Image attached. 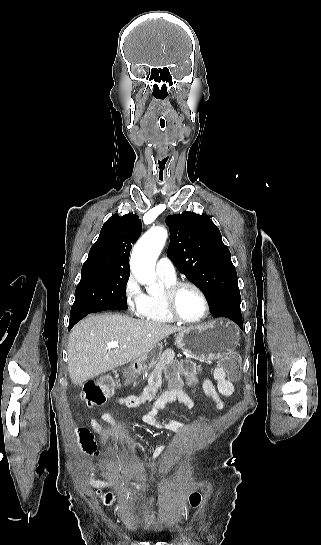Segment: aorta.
Returning <instances> with one entry per match:
<instances>
[{
  "instance_id": "762f6f07",
  "label": "aorta",
  "mask_w": 321,
  "mask_h": 545,
  "mask_svg": "<svg viewBox=\"0 0 321 545\" xmlns=\"http://www.w3.org/2000/svg\"><path fill=\"white\" fill-rule=\"evenodd\" d=\"M167 239L163 227H153L147 231L133 248L130 266L136 279L147 285V290L156 291L155 264Z\"/></svg>"
}]
</instances>
